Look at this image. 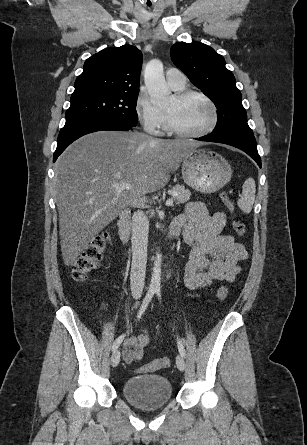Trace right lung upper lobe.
Listing matches in <instances>:
<instances>
[{
    "label": "right lung upper lobe",
    "instance_id": "1",
    "mask_svg": "<svg viewBox=\"0 0 307 445\" xmlns=\"http://www.w3.org/2000/svg\"><path fill=\"white\" fill-rule=\"evenodd\" d=\"M141 64V51L134 46L106 48L85 61L72 96L136 94L139 92Z\"/></svg>",
    "mask_w": 307,
    "mask_h": 445
}]
</instances>
